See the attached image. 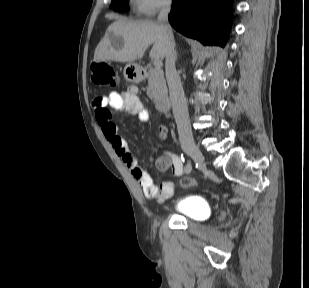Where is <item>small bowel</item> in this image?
I'll use <instances>...</instances> for the list:
<instances>
[{
    "label": "small bowel",
    "mask_w": 309,
    "mask_h": 288,
    "mask_svg": "<svg viewBox=\"0 0 309 288\" xmlns=\"http://www.w3.org/2000/svg\"><path fill=\"white\" fill-rule=\"evenodd\" d=\"M93 107L104 138L138 180L146 198L164 202L172 197L175 190L173 182L164 181L158 185L152 180L149 173L139 164L138 159L129 149L126 139L118 133L117 126L112 119L111 110L126 112L142 122L149 119V112L137 96V88L132 86L122 93L113 91L103 97H98L94 100ZM159 137L161 140L167 137L165 126L159 127ZM155 162L159 170L171 169L176 176L183 174L181 159L174 153L164 152L156 158Z\"/></svg>",
    "instance_id": "c3829d8e"
}]
</instances>
